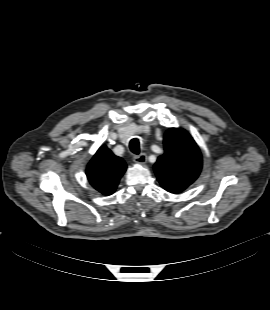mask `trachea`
I'll return each mask as SVG.
<instances>
[{
    "instance_id": "1",
    "label": "trachea",
    "mask_w": 270,
    "mask_h": 310,
    "mask_svg": "<svg viewBox=\"0 0 270 310\" xmlns=\"http://www.w3.org/2000/svg\"><path fill=\"white\" fill-rule=\"evenodd\" d=\"M129 148L132 153L139 154L140 153L139 139L133 138L129 143Z\"/></svg>"
}]
</instances>
